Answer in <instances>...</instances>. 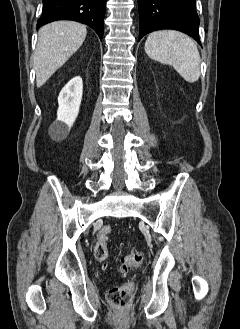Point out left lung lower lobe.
<instances>
[{
    "mask_svg": "<svg viewBox=\"0 0 240 329\" xmlns=\"http://www.w3.org/2000/svg\"><path fill=\"white\" fill-rule=\"evenodd\" d=\"M139 40L159 29H173L186 33L199 44L200 24L196 0H138Z\"/></svg>",
    "mask_w": 240,
    "mask_h": 329,
    "instance_id": "1",
    "label": "left lung lower lobe"
}]
</instances>
